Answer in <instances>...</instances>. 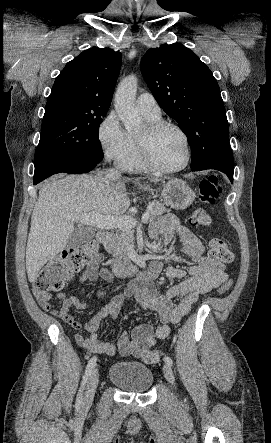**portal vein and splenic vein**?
<instances>
[{
  "label": "portal vein and splenic vein",
  "instance_id": "obj_1",
  "mask_svg": "<svg viewBox=\"0 0 271 443\" xmlns=\"http://www.w3.org/2000/svg\"><path fill=\"white\" fill-rule=\"evenodd\" d=\"M149 212L143 214L141 220L143 223L148 222ZM75 222L83 223V225H94V227H100V229H111V227H135L137 223L132 216H101L98 212H89V214H78L74 216Z\"/></svg>",
  "mask_w": 271,
  "mask_h": 443
}]
</instances>
